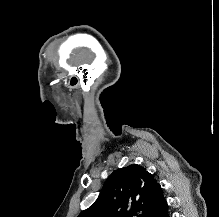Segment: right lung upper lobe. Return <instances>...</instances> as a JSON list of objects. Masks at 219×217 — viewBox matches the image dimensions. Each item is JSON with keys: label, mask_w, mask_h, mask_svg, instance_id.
I'll list each match as a JSON object with an SVG mask.
<instances>
[{"label": "right lung upper lobe", "mask_w": 219, "mask_h": 217, "mask_svg": "<svg viewBox=\"0 0 219 217\" xmlns=\"http://www.w3.org/2000/svg\"><path fill=\"white\" fill-rule=\"evenodd\" d=\"M167 207L152 174L134 164L115 170L94 204L78 217H160Z\"/></svg>", "instance_id": "cb5924a9"}]
</instances>
